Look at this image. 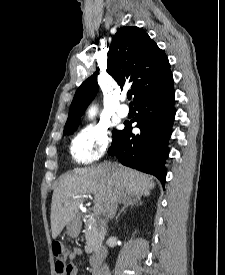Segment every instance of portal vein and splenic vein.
Here are the masks:
<instances>
[{
	"mask_svg": "<svg viewBox=\"0 0 225 275\" xmlns=\"http://www.w3.org/2000/svg\"><path fill=\"white\" fill-rule=\"evenodd\" d=\"M96 207L101 208V205H96Z\"/></svg>",
	"mask_w": 225,
	"mask_h": 275,
	"instance_id": "obj_1",
	"label": "portal vein and splenic vein"
}]
</instances>
